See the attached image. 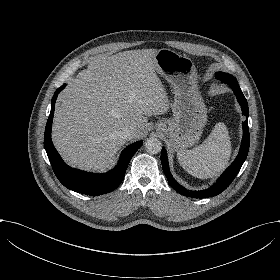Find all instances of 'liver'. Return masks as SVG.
<instances>
[{"label": "liver", "instance_id": "1", "mask_svg": "<svg viewBox=\"0 0 280 280\" xmlns=\"http://www.w3.org/2000/svg\"><path fill=\"white\" fill-rule=\"evenodd\" d=\"M154 54V49H138L92 59L67 84L55 107L51 138L68 166L107 172L125 144L119 131L130 129L136 142L145 135L148 116L167 111Z\"/></svg>", "mask_w": 280, "mask_h": 280}]
</instances>
